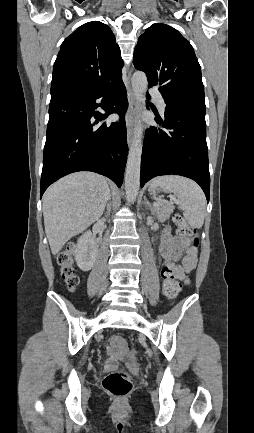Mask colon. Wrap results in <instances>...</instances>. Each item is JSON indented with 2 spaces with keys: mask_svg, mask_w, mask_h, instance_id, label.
<instances>
[{
  "mask_svg": "<svg viewBox=\"0 0 254 433\" xmlns=\"http://www.w3.org/2000/svg\"><path fill=\"white\" fill-rule=\"evenodd\" d=\"M173 221L177 227L178 235L183 238L188 246L195 247L197 245L195 229L189 226L180 215H175ZM57 261L60 266L61 277L67 287L70 290L75 289L79 284V276L77 275L73 264L71 249L60 253ZM162 278L165 285V296L170 299L176 298L181 291V287L173 270L169 267L163 268ZM112 343L118 348H123L125 345L124 339L120 336L114 337ZM102 386L103 389L113 398L123 399L130 394L132 390V381L125 373L112 372L104 377Z\"/></svg>",
  "mask_w": 254,
  "mask_h": 433,
  "instance_id": "colon-1",
  "label": "colon"
}]
</instances>
